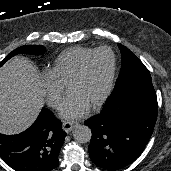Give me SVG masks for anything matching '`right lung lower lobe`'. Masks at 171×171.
I'll use <instances>...</instances> for the list:
<instances>
[{"mask_svg":"<svg viewBox=\"0 0 171 171\" xmlns=\"http://www.w3.org/2000/svg\"><path fill=\"white\" fill-rule=\"evenodd\" d=\"M66 133L51 111L43 108L37 120L17 135L0 134V156L16 171H52Z\"/></svg>","mask_w":171,"mask_h":171,"instance_id":"right-lung-lower-lobe-1","label":"right lung lower lobe"}]
</instances>
